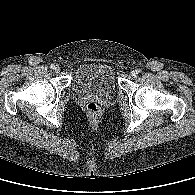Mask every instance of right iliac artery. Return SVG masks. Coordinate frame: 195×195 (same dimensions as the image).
<instances>
[{
  "label": "right iliac artery",
  "instance_id": "right-iliac-artery-1",
  "mask_svg": "<svg viewBox=\"0 0 195 195\" xmlns=\"http://www.w3.org/2000/svg\"><path fill=\"white\" fill-rule=\"evenodd\" d=\"M50 68H51V69H55V65L52 64V65L50 66Z\"/></svg>",
  "mask_w": 195,
  "mask_h": 195
}]
</instances>
